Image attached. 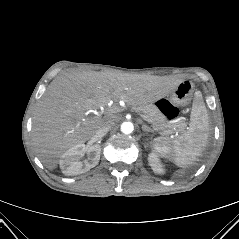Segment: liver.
<instances>
[{
    "label": "liver",
    "instance_id": "6515ba94",
    "mask_svg": "<svg viewBox=\"0 0 239 239\" xmlns=\"http://www.w3.org/2000/svg\"><path fill=\"white\" fill-rule=\"evenodd\" d=\"M179 79L167 76L71 70L58 75L35 109L32 139L40 161L49 170L57 167L65 151L92 138L102 123L116 120L90 116L93 109L111 101L137 106L155 102L172 91Z\"/></svg>",
    "mask_w": 239,
    "mask_h": 239
}]
</instances>
